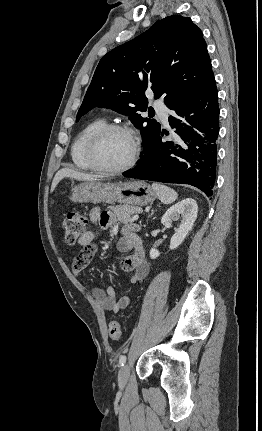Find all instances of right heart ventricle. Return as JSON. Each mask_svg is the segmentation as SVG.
I'll return each instance as SVG.
<instances>
[{
	"mask_svg": "<svg viewBox=\"0 0 262 431\" xmlns=\"http://www.w3.org/2000/svg\"><path fill=\"white\" fill-rule=\"evenodd\" d=\"M107 125L104 117L91 120L75 137L71 146L73 165L82 171H95L87 158V148L91 137L102 127Z\"/></svg>",
	"mask_w": 262,
	"mask_h": 431,
	"instance_id": "obj_1",
	"label": "right heart ventricle"
}]
</instances>
